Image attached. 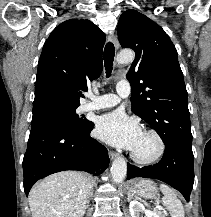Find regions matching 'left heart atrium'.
<instances>
[{
	"label": "left heart atrium",
	"mask_w": 211,
	"mask_h": 217,
	"mask_svg": "<svg viewBox=\"0 0 211 217\" xmlns=\"http://www.w3.org/2000/svg\"><path fill=\"white\" fill-rule=\"evenodd\" d=\"M142 133L135 120L119 111L101 116L96 124L98 138L113 146L132 151L137 146Z\"/></svg>",
	"instance_id": "1"
}]
</instances>
